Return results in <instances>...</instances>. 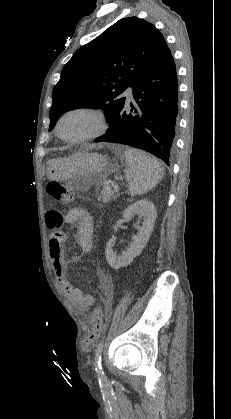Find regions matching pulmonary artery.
<instances>
[{"label": "pulmonary artery", "mask_w": 231, "mask_h": 419, "mask_svg": "<svg viewBox=\"0 0 231 419\" xmlns=\"http://www.w3.org/2000/svg\"><path fill=\"white\" fill-rule=\"evenodd\" d=\"M124 96L126 97L127 101H132L133 100V90H132L131 87H128L125 90Z\"/></svg>", "instance_id": "1"}]
</instances>
